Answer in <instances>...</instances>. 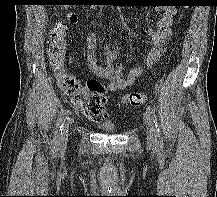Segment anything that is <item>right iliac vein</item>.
<instances>
[{
    "label": "right iliac vein",
    "mask_w": 217,
    "mask_h": 197,
    "mask_svg": "<svg viewBox=\"0 0 217 197\" xmlns=\"http://www.w3.org/2000/svg\"><path fill=\"white\" fill-rule=\"evenodd\" d=\"M71 120L69 119L64 126L63 133L60 139V145L63 146L67 143L69 138V128H70Z\"/></svg>",
    "instance_id": "right-iliac-vein-1"
}]
</instances>
